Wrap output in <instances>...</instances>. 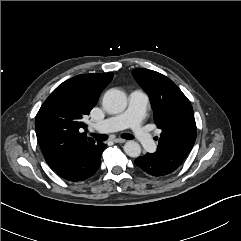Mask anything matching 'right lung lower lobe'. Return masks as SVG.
<instances>
[{
	"label": "right lung lower lobe",
	"mask_w": 241,
	"mask_h": 241,
	"mask_svg": "<svg viewBox=\"0 0 241 241\" xmlns=\"http://www.w3.org/2000/svg\"><path fill=\"white\" fill-rule=\"evenodd\" d=\"M105 147V144L98 143L85 151H75L54 171L65 180L83 181L98 170Z\"/></svg>",
	"instance_id": "98d812e1"
}]
</instances>
